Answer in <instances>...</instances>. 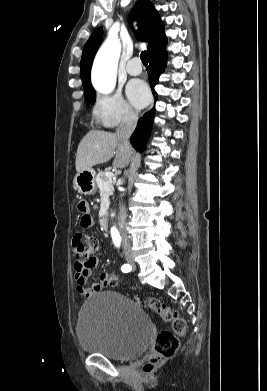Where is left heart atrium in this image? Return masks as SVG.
<instances>
[{
	"mask_svg": "<svg viewBox=\"0 0 267 391\" xmlns=\"http://www.w3.org/2000/svg\"><path fill=\"white\" fill-rule=\"evenodd\" d=\"M126 93L130 102L138 108L145 106L150 97L146 84L137 79L128 83Z\"/></svg>",
	"mask_w": 267,
	"mask_h": 391,
	"instance_id": "39dd6f15",
	"label": "left heart atrium"
}]
</instances>
